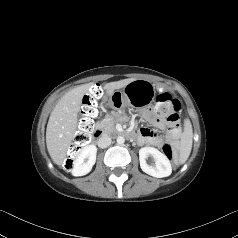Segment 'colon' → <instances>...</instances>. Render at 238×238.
<instances>
[{
  "label": "colon",
  "mask_w": 238,
  "mask_h": 238,
  "mask_svg": "<svg viewBox=\"0 0 238 238\" xmlns=\"http://www.w3.org/2000/svg\"><path fill=\"white\" fill-rule=\"evenodd\" d=\"M102 95V89L99 86H94L90 90L89 94L83 99L81 106L82 118L79 122V130L74 136V140L69 149V158L66 160L65 167L68 169L72 165V158H74L80 150L89 142L91 133L93 131V117L97 113V99ZM181 109V103L178 99L174 98L169 93H160L156 97V103L154 106V112L165 118L169 122H177L179 119V112ZM164 155L173 160L174 150L169 144H165L162 147Z\"/></svg>",
  "instance_id": "1"
}]
</instances>
